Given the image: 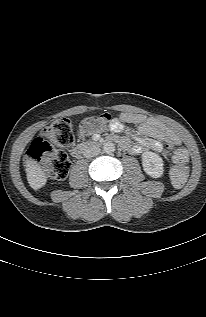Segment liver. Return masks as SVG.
<instances>
[{"mask_svg": "<svg viewBox=\"0 0 206 317\" xmlns=\"http://www.w3.org/2000/svg\"><path fill=\"white\" fill-rule=\"evenodd\" d=\"M25 163L27 181L31 188L34 190L42 188L47 182V177L42 167L32 159H27Z\"/></svg>", "mask_w": 206, "mask_h": 317, "instance_id": "1", "label": "liver"}]
</instances>
